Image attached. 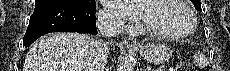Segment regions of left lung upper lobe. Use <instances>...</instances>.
I'll list each match as a JSON object with an SVG mask.
<instances>
[{"mask_svg": "<svg viewBox=\"0 0 230 71\" xmlns=\"http://www.w3.org/2000/svg\"><path fill=\"white\" fill-rule=\"evenodd\" d=\"M191 2L194 4V6L197 10H199L201 8L200 0H191Z\"/></svg>", "mask_w": 230, "mask_h": 71, "instance_id": "obj_1", "label": "left lung upper lobe"}]
</instances>
